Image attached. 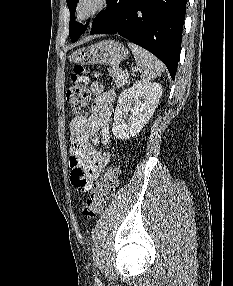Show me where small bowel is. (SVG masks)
<instances>
[{
  "label": "small bowel",
  "instance_id": "small-bowel-1",
  "mask_svg": "<svg viewBox=\"0 0 233 286\" xmlns=\"http://www.w3.org/2000/svg\"><path fill=\"white\" fill-rule=\"evenodd\" d=\"M92 102L89 110L75 116L70 124V181L79 192L89 191L110 160V118L114 93L103 85L91 84Z\"/></svg>",
  "mask_w": 233,
  "mask_h": 286
}]
</instances>
